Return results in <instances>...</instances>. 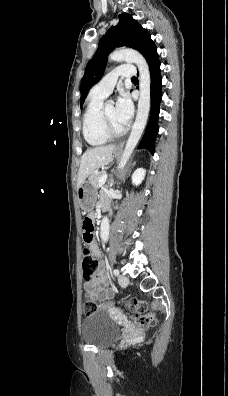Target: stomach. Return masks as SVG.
<instances>
[{"mask_svg": "<svg viewBox=\"0 0 228 396\" xmlns=\"http://www.w3.org/2000/svg\"><path fill=\"white\" fill-rule=\"evenodd\" d=\"M115 156L119 154V150H114ZM77 197L79 205L84 212H91L95 206L97 199V188L92 186L88 181H84L81 186L77 188Z\"/></svg>", "mask_w": 228, "mask_h": 396, "instance_id": "1", "label": "stomach"}]
</instances>
